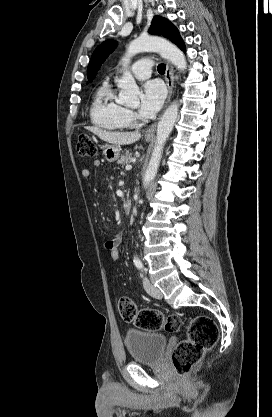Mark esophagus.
Masks as SVG:
<instances>
[{
    "mask_svg": "<svg viewBox=\"0 0 272 417\" xmlns=\"http://www.w3.org/2000/svg\"><path fill=\"white\" fill-rule=\"evenodd\" d=\"M165 80H166L167 87H168V97H167L166 104H165V106H167V104L171 100V97H172V94H173V88H174V70H173V66L169 62H167V64H166ZM155 129H156V122L153 123L147 129L145 135L146 136H153L155 134Z\"/></svg>",
    "mask_w": 272,
    "mask_h": 417,
    "instance_id": "obj_1",
    "label": "esophagus"
}]
</instances>
